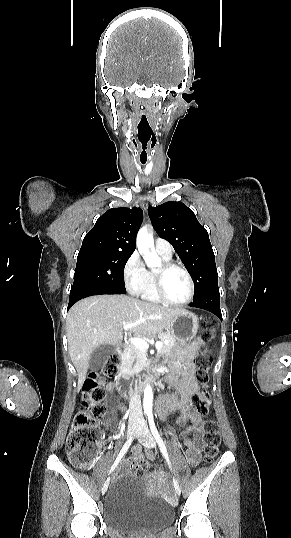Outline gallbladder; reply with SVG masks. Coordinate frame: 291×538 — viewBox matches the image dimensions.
<instances>
[{
  "label": "gallbladder",
  "instance_id": "gallbladder-1",
  "mask_svg": "<svg viewBox=\"0 0 291 538\" xmlns=\"http://www.w3.org/2000/svg\"><path fill=\"white\" fill-rule=\"evenodd\" d=\"M114 350L115 346L108 344L102 345L94 350L89 361L90 370H99L106 363L110 355L114 353Z\"/></svg>",
  "mask_w": 291,
  "mask_h": 538
}]
</instances>
